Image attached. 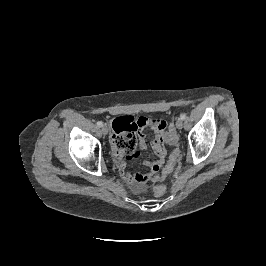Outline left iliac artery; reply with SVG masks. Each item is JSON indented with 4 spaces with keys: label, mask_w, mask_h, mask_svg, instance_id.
<instances>
[{
    "label": "left iliac artery",
    "mask_w": 266,
    "mask_h": 266,
    "mask_svg": "<svg viewBox=\"0 0 266 266\" xmlns=\"http://www.w3.org/2000/svg\"><path fill=\"white\" fill-rule=\"evenodd\" d=\"M180 118H181L182 120H185V119H186V115H185V114H181V115H180Z\"/></svg>",
    "instance_id": "1"
}]
</instances>
